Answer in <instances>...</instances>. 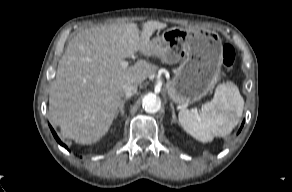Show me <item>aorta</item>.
I'll list each match as a JSON object with an SVG mask.
<instances>
[{"instance_id":"aorta-1","label":"aorta","mask_w":292,"mask_h":192,"mask_svg":"<svg viewBox=\"0 0 292 192\" xmlns=\"http://www.w3.org/2000/svg\"><path fill=\"white\" fill-rule=\"evenodd\" d=\"M142 106L146 112L156 113L161 107V102L154 93H148L142 99Z\"/></svg>"}]
</instances>
